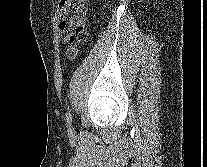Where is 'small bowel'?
Masks as SVG:
<instances>
[{
    "label": "small bowel",
    "instance_id": "small-bowel-1",
    "mask_svg": "<svg viewBox=\"0 0 207 167\" xmlns=\"http://www.w3.org/2000/svg\"><path fill=\"white\" fill-rule=\"evenodd\" d=\"M67 54L70 59H74L76 56V49L74 47L68 46Z\"/></svg>",
    "mask_w": 207,
    "mask_h": 167
}]
</instances>
